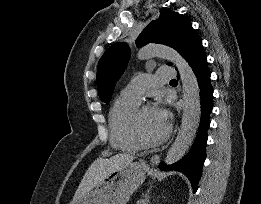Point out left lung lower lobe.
Returning <instances> with one entry per match:
<instances>
[{"label": "left lung lower lobe", "instance_id": "left-lung-lower-lobe-1", "mask_svg": "<svg viewBox=\"0 0 261 204\" xmlns=\"http://www.w3.org/2000/svg\"><path fill=\"white\" fill-rule=\"evenodd\" d=\"M183 57L195 73L200 89L201 118L198 134L189 153L179 162L166 166L160 164L162 170H176L184 173L191 181L193 192L198 189L202 175V166L206 155L207 129L210 124V113L213 108V89L210 83V71L207 56L203 50L202 40L196 34L187 46Z\"/></svg>", "mask_w": 261, "mask_h": 204}]
</instances>
